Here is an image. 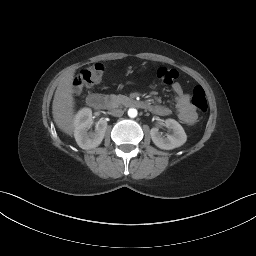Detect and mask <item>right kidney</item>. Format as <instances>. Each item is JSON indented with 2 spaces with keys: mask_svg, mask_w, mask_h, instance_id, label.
I'll return each instance as SVG.
<instances>
[{
  "mask_svg": "<svg viewBox=\"0 0 256 256\" xmlns=\"http://www.w3.org/2000/svg\"><path fill=\"white\" fill-rule=\"evenodd\" d=\"M93 124L92 110L82 108L74 118V137L80 148L88 150L98 147L107 129V122L100 119L95 126L94 132H88Z\"/></svg>",
  "mask_w": 256,
  "mask_h": 256,
  "instance_id": "obj_1",
  "label": "right kidney"
}]
</instances>
